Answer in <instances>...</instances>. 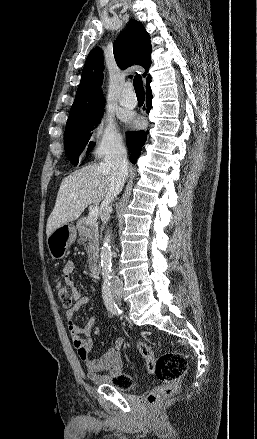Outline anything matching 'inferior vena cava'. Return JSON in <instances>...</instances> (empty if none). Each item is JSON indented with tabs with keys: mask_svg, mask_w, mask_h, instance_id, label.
Instances as JSON below:
<instances>
[{
	"mask_svg": "<svg viewBox=\"0 0 257 439\" xmlns=\"http://www.w3.org/2000/svg\"><path fill=\"white\" fill-rule=\"evenodd\" d=\"M104 162L112 169L111 185L103 202L108 207L114 197L121 192L128 174L127 152L121 140L116 141L110 146L106 152ZM107 219L108 216L106 221ZM110 283L111 288L123 287V282L118 276L112 275Z\"/></svg>",
	"mask_w": 257,
	"mask_h": 439,
	"instance_id": "inferior-vena-cava-1",
	"label": "inferior vena cava"
}]
</instances>
